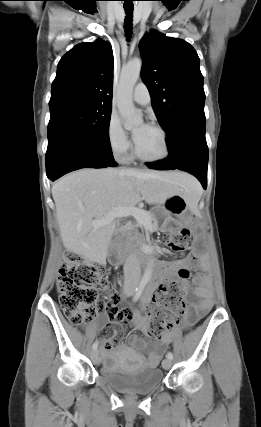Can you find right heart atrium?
Masks as SVG:
<instances>
[{"label": "right heart atrium", "instance_id": "d8ad5b80", "mask_svg": "<svg viewBox=\"0 0 261 427\" xmlns=\"http://www.w3.org/2000/svg\"><path fill=\"white\" fill-rule=\"evenodd\" d=\"M106 136L112 153L119 158H126L131 149V143L118 117L114 114L108 120Z\"/></svg>", "mask_w": 261, "mask_h": 427}]
</instances>
